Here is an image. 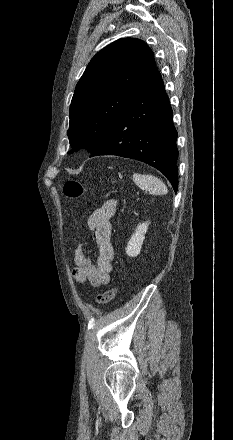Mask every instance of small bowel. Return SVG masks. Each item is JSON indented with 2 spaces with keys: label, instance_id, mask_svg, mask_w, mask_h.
<instances>
[{
  "label": "small bowel",
  "instance_id": "c3829d8e",
  "mask_svg": "<svg viewBox=\"0 0 233 440\" xmlns=\"http://www.w3.org/2000/svg\"><path fill=\"white\" fill-rule=\"evenodd\" d=\"M118 202L115 198L106 200L98 209L92 212L88 219V227L94 233L98 255L96 263L84 253L80 243L74 249L72 275L80 284L89 283L93 287L107 284L110 280L114 248L111 242V218L114 216Z\"/></svg>",
  "mask_w": 233,
  "mask_h": 440
}]
</instances>
